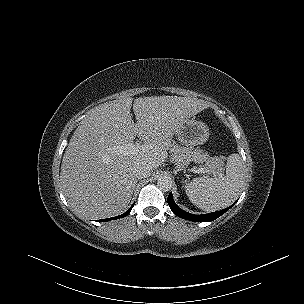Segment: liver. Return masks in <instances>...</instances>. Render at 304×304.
Wrapping results in <instances>:
<instances>
[{"mask_svg":"<svg viewBox=\"0 0 304 304\" xmlns=\"http://www.w3.org/2000/svg\"><path fill=\"white\" fill-rule=\"evenodd\" d=\"M132 102L136 123L130 113ZM206 107L200 99L151 96L122 98L91 109L62 159L60 179L70 207L92 219L122 213L137 184L136 166H161L179 127ZM136 136L143 143L135 149L126 154L117 149L133 143Z\"/></svg>","mask_w":304,"mask_h":304,"instance_id":"liver-1","label":"liver"}]
</instances>
